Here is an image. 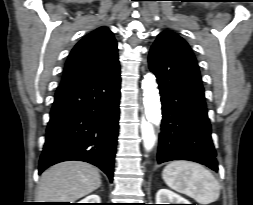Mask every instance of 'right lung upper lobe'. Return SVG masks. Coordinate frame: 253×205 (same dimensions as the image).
<instances>
[{
	"label": "right lung upper lobe",
	"mask_w": 253,
	"mask_h": 205,
	"mask_svg": "<svg viewBox=\"0 0 253 205\" xmlns=\"http://www.w3.org/2000/svg\"><path fill=\"white\" fill-rule=\"evenodd\" d=\"M118 62L117 43L112 32L100 27L72 49L61 84L102 73Z\"/></svg>",
	"instance_id": "cb5924a9"
}]
</instances>
